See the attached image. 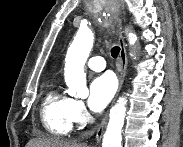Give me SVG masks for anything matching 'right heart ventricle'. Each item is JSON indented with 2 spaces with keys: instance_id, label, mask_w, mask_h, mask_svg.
Segmentation results:
<instances>
[{
  "instance_id": "obj_1",
  "label": "right heart ventricle",
  "mask_w": 183,
  "mask_h": 147,
  "mask_svg": "<svg viewBox=\"0 0 183 147\" xmlns=\"http://www.w3.org/2000/svg\"><path fill=\"white\" fill-rule=\"evenodd\" d=\"M73 99L56 89L50 90L43 99L41 120L44 128L52 135H69L73 128Z\"/></svg>"
}]
</instances>
